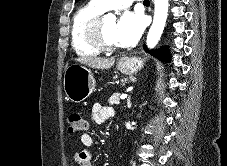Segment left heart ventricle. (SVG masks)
Wrapping results in <instances>:
<instances>
[{
	"label": "left heart ventricle",
	"instance_id": "b2bd125f",
	"mask_svg": "<svg viewBox=\"0 0 227 166\" xmlns=\"http://www.w3.org/2000/svg\"><path fill=\"white\" fill-rule=\"evenodd\" d=\"M117 20L114 17L107 16L103 24V39L110 45H119L116 37Z\"/></svg>",
	"mask_w": 227,
	"mask_h": 166
}]
</instances>
